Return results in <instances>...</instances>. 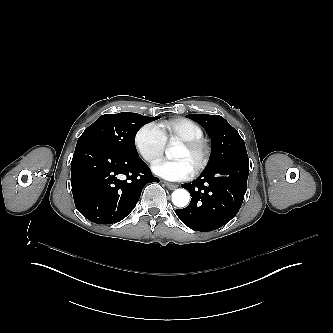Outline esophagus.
Returning a JSON list of instances; mask_svg holds the SVG:
<instances>
[{
	"label": "esophagus",
	"mask_w": 333,
	"mask_h": 333,
	"mask_svg": "<svg viewBox=\"0 0 333 333\" xmlns=\"http://www.w3.org/2000/svg\"><path fill=\"white\" fill-rule=\"evenodd\" d=\"M164 183H165L166 187L170 190H175L178 187V185L174 184V183H169V182H164Z\"/></svg>",
	"instance_id": "obj_1"
}]
</instances>
